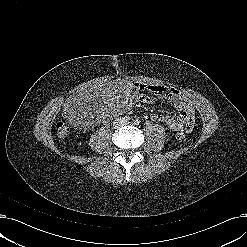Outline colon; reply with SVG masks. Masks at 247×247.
I'll use <instances>...</instances> for the list:
<instances>
[{
    "instance_id": "obj_1",
    "label": "colon",
    "mask_w": 247,
    "mask_h": 247,
    "mask_svg": "<svg viewBox=\"0 0 247 247\" xmlns=\"http://www.w3.org/2000/svg\"><path fill=\"white\" fill-rule=\"evenodd\" d=\"M56 133L59 137L64 138L69 134V127L68 125L63 122V121H59L56 124ZM175 137L177 140H183L185 137V134L183 131H177L175 134Z\"/></svg>"
}]
</instances>
